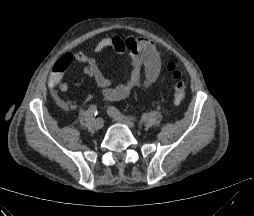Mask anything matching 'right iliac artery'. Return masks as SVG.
<instances>
[{
    "label": "right iliac artery",
    "instance_id": "right-iliac-artery-1",
    "mask_svg": "<svg viewBox=\"0 0 254 216\" xmlns=\"http://www.w3.org/2000/svg\"><path fill=\"white\" fill-rule=\"evenodd\" d=\"M88 111L91 116H96L98 114L96 105H91Z\"/></svg>",
    "mask_w": 254,
    "mask_h": 216
}]
</instances>
